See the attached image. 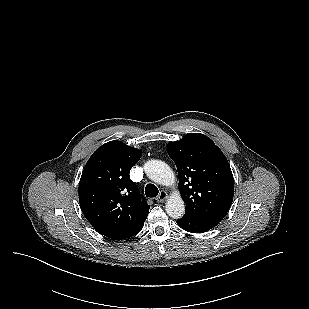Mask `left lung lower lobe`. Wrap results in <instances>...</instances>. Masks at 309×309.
Returning <instances> with one entry per match:
<instances>
[{
	"label": "left lung lower lobe",
	"instance_id": "obj_1",
	"mask_svg": "<svg viewBox=\"0 0 309 309\" xmlns=\"http://www.w3.org/2000/svg\"><path fill=\"white\" fill-rule=\"evenodd\" d=\"M177 224L185 231L192 233H204L215 227L213 224L187 215H184L181 219H178Z\"/></svg>",
	"mask_w": 309,
	"mask_h": 309
}]
</instances>
